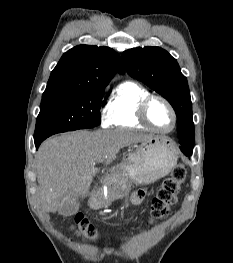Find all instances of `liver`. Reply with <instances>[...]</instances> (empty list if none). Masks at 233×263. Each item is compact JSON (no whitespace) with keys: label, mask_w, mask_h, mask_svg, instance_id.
I'll return each mask as SVG.
<instances>
[{"label":"liver","mask_w":233,"mask_h":263,"mask_svg":"<svg viewBox=\"0 0 233 263\" xmlns=\"http://www.w3.org/2000/svg\"><path fill=\"white\" fill-rule=\"evenodd\" d=\"M152 135L126 129L75 131L46 139L36 155L39 199L47 212L88 194L95 164L112 162L118 152Z\"/></svg>","instance_id":"obj_1"}]
</instances>
